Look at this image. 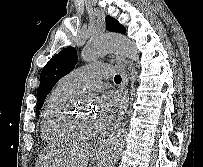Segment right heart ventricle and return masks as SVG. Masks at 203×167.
Returning <instances> with one entry per match:
<instances>
[{
	"label": "right heart ventricle",
	"instance_id": "obj_1",
	"mask_svg": "<svg viewBox=\"0 0 203 167\" xmlns=\"http://www.w3.org/2000/svg\"><path fill=\"white\" fill-rule=\"evenodd\" d=\"M75 94L76 89L60 81L47 97L41 116V136L46 143L62 145L75 140L62 126Z\"/></svg>",
	"mask_w": 203,
	"mask_h": 167
}]
</instances>
